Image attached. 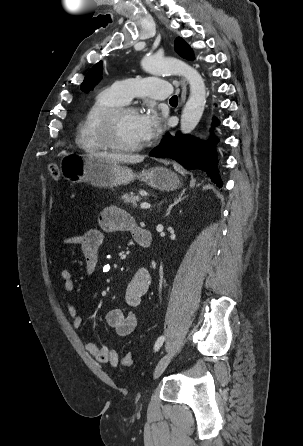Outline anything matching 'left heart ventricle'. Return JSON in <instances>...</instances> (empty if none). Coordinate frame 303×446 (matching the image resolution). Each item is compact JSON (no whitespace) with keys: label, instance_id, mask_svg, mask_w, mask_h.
<instances>
[{"label":"left heart ventricle","instance_id":"1","mask_svg":"<svg viewBox=\"0 0 303 446\" xmlns=\"http://www.w3.org/2000/svg\"><path fill=\"white\" fill-rule=\"evenodd\" d=\"M137 116L135 112H128L120 117L115 131V139L118 143L133 145L144 141L138 130Z\"/></svg>","mask_w":303,"mask_h":446}]
</instances>
